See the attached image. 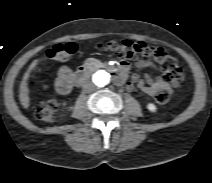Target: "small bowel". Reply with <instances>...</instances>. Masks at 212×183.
<instances>
[{
	"label": "small bowel",
	"mask_w": 212,
	"mask_h": 183,
	"mask_svg": "<svg viewBox=\"0 0 212 183\" xmlns=\"http://www.w3.org/2000/svg\"><path fill=\"white\" fill-rule=\"evenodd\" d=\"M135 65L139 69L156 68L155 65L148 60H139L136 62ZM128 67V63H122L120 66V70L123 74V81L121 83H124L125 81V75L128 70ZM178 85L179 83L177 81L169 83L166 82L162 77H153L148 74H146L143 78L135 76L133 77L132 81L126 83V86L129 90H133L135 87H137L138 89L142 90L150 96H154L157 92L162 90L171 93L174 88L178 87ZM72 86V71L68 67L60 68L55 81L56 91L61 95H66L71 91Z\"/></svg>",
	"instance_id": "obj_1"
}]
</instances>
